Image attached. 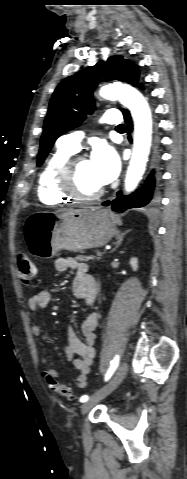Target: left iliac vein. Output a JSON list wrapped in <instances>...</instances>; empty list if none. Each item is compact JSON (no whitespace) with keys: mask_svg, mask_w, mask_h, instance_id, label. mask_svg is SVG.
<instances>
[{"mask_svg":"<svg viewBox=\"0 0 187 479\" xmlns=\"http://www.w3.org/2000/svg\"><path fill=\"white\" fill-rule=\"evenodd\" d=\"M128 371V365L126 362H122L119 366L117 372L115 373L114 377L109 381V383L100 390L95 396H93L90 400L83 403L81 405V413L86 414L97 402L101 399L106 397L110 394L116 387L122 382L125 378Z\"/></svg>","mask_w":187,"mask_h":479,"instance_id":"obj_1","label":"left iliac vein"}]
</instances>
